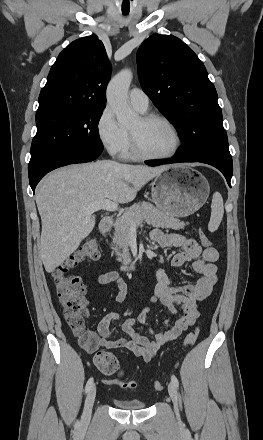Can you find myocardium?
<instances>
[{"mask_svg": "<svg viewBox=\"0 0 263 440\" xmlns=\"http://www.w3.org/2000/svg\"><path fill=\"white\" fill-rule=\"evenodd\" d=\"M140 118L144 123H148V122H152V121H160V122H163L164 124H166L174 136L175 144H174V147L172 148V150L168 153L150 154L141 148L137 138L129 130L130 147H131L132 154L135 157H137L139 159H144V160H164V159H169V158L174 157L179 152V150L182 146V137H181V134H180L178 128L176 127V125L166 116L161 115V114H156V113L143 114L140 116Z\"/></svg>", "mask_w": 263, "mask_h": 440, "instance_id": "myocardium-1", "label": "myocardium"}]
</instances>
